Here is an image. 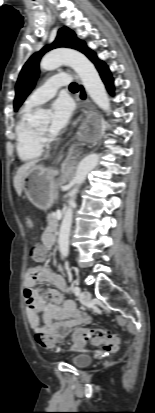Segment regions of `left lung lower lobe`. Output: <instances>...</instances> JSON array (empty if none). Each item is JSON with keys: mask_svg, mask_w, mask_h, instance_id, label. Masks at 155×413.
<instances>
[{"mask_svg": "<svg viewBox=\"0 0 155 413\" xmlns=\"http://www.w3.org/2000/svg\"><path fill=\"white\" fill-rule=\"evenodd\" d=\"M91 61L95 64L97 70L100 73V76L103 80V82L105 83L109 93L111 95H113L114 92V87H113V79L111 77L110 71L107 67V65L101 61L97 56H94ZM81 88V98L84 99L85 98V94H84V90L82 87Z\"/></svg>", "mask_w": 155, "mask_h": 413, "instance_id": "0a47b994", "label": "left lung lower lobe"}]
</instances>
